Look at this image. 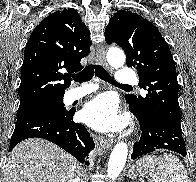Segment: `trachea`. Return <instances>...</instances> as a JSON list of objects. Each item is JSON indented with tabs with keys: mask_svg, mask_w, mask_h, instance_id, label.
Returning a JSON list of instances; mask_svg holds the SVG:
<instances>
[{
	"mask_svg": "<svg viewBox=\"0 0 196 182\" xmlns=\"http://www.w3.org/2000/svg\"><path fill=\"white\" fill-rule=\"evenodd\" d=\"M94 73L100 79H102L108 83H111L113 85L120 86V87H130L127 85H121V84L117 83L113 79V77H111L110 74L101 65H95V64L88 65L83 71H81L77 74H73L72 78L79 83L87 82L92 79V77L94 76Z\"/></svg>",
	"mask_w": 196,
	"mask_h": 182,
	"instance_id": "1",
	"label": "trachea"
}]
</instances>
